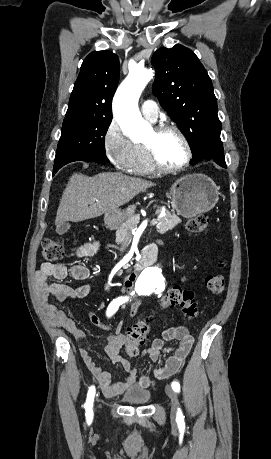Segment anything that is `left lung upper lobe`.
Instances as JSON below:
<instances>
[{"instance_id":"left-lung-upper-lobe-1","label":"left lung upper lobe","mask_w":271,"mask_h":459,"mask_svg":"<svg viewBox=\"0 0 271 459\" xmlns=\"http://www.w3.org/2000/svg\"><path fill=\"white\" fill-rule=\"evenodd\" d=\"M156 70L153 93L189 142L193 158L200 162L216 150L221 122L213 85L197 56L177 44L157 50L152 56Z\"/></svg>"}]
</instances>
